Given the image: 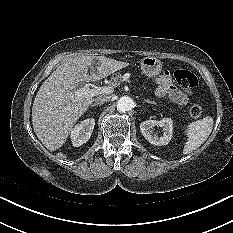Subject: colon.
Listing matches in <instances>:
<instances>
[{
	"label": "colon",
	"instance_id": "1",
	"mask_svg": "<svg viewBox=\"0 0 233 233\" xmlns=\"http://www.w3.org/2000/svg\"><path fill=\"white\" fill-rule=\"evenodd\" d=\"M175 82L186 92L191 93L198 85L195 74L186 69H177L173 73ZM190 115L194 119L200 118L202 109L198 104H192L189 109Z\"/></svg>",
	"mask_w": 233,
	"mask_h": 233
}]
</instances>
